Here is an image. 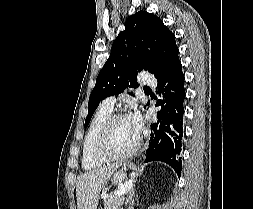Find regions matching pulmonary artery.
Here are the masks:
<instances>
[{
	"label": "pulmonary artery",
	"instance_id": "e3ab8cb5",
	"mask_svg": "<svg viewBox=\"0 0 253 209\" xmlns=\"http://www.w3.org/2000/svg\"><path fill=\"white\" fill-rule=\"evenodd\" d=\"M139 81L140 83L146 84L147 86L152 87V88L157 86V82L155 78L151 76L150 74H148L147 72L140 73ZM103 103L108 107H113L115 103V98L109 97L106 100H104Z\"/></svg>",
	"mask_w": 253,
	"mask_h": 209
}]
</instances>
